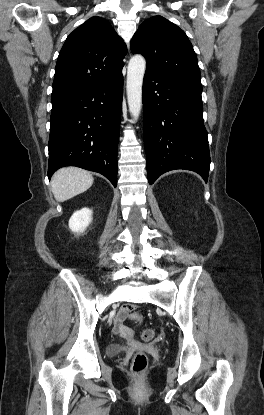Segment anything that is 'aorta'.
Listing matches in <instances>:
<instances>
[{
    "mask_svg": "<svg viewBox=\"0 0 264 415\" xmlns=\"http://www.w3.org/2000/svg\"><path fill=\"white\" fill-rule=\"evenodd\" d=\"M146 69V61L142 55H134L127 69V100L131 116L137 120L142 105V83Z\"/></svg>",
    "mask_w": 264,
    "mask_h": 415,
    "instance_id": "762f6f07",
    "label": "aorta"
}]
</instances>
